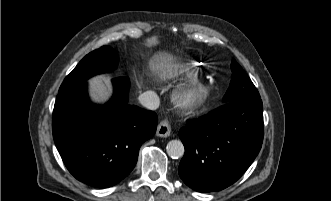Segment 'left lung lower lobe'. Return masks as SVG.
Segmentation results:
<instances>
[{
  "instance_id": "obj_1",
  "label": "left lung lower lobe",
  "mask_w": 331,
  "mask_h": 201,
  "mask_svg": "<svg viewBox=\"0 0 331 201\" xmlns=\"http://www.w3.org/2000/svg\"><path fill=\"white\" fill-rule=\"evenodd\" d=\"M185 154L179 175L190 188L214 192L236 182L258 155L263 141L260 97L225 103L187 121L179 131Z\"/></svg>"
}]
</instances>
